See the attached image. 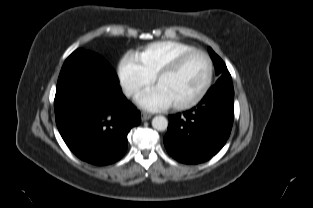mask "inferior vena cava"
Instances as JSON below:
<instances>
[{"label":"inferior vena cava","mask_w":313,"mask_h":208,"mask_svg":"<svg viewBox=\"0 0 313 208\" xmlns=\"http://www.w3.org/2000/svg\"><path fill=\"white\" fill-rule=\"evenodd\" d=\"M135 92H137V89L133 88V87H126L124 89V93L127 97L132 96Z\"/></svg>","instance_id":"obj_1"}]
</instances>
